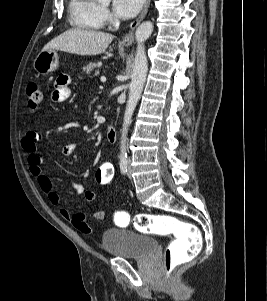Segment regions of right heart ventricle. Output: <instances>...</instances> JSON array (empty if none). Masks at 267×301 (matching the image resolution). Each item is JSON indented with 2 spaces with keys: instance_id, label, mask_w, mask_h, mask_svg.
Listing matches in <instances>:
<instances>
[{
  "instance_id": "1",
  "label": "right heart ventricle",
  "mask_w": 267,
  "mask_h": 301,
  "mask_svg": "<svg viewBox=\"0 0 267 301\" xmlns=\"http://www.w3.org/2000/svg\"><path fill=\"white\" fill-rule=\"evenodd\" d=\"M98 0H70L71 24L82 30H98L103 26Z\"/></svg>"
}]
</instances>
